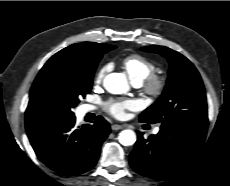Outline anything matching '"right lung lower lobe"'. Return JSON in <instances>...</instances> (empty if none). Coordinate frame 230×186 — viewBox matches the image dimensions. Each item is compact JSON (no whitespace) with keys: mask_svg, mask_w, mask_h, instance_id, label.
Wrapping results in <instances>:
<instances>
[{"mask_svg":"<svg viewBox=\"0 0 230 186\" xmlns=\"http://www.w3.org/2000/svg\"><path fill=\"white\" fill-rule=\"evenodd\" d=\"M109 133L110 125L101 116L93 125L77 127L72 117L27 131L37 157L50 169L68 176L82 174L96 165Z\"/></svg>","mask_w":230,"mask_h":186,"instance_id":"right-lung-lower-lobe-1","label":"right lung lower lobe"}]
</instances>
